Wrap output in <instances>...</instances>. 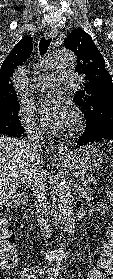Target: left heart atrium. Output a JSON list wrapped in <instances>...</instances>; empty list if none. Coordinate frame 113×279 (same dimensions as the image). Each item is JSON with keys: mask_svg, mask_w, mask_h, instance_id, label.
<instances>
[{"mask_svg": "<svg viewBox=\"0 0 113 279\" xmlns=\"http://www.w3.org/2000/svg\"><path fill=\"white\" fill-rule=\"evenodd\" d=\"M39 115L43 125L54 132H62L70 128L74 122V110L70 103L62 97H54L45 101Z\"/></svg>", "mask_w": 113, "mask_h": 279, "instance_id": "obj_1", "label": "left heart atrium"}]
</instances>
